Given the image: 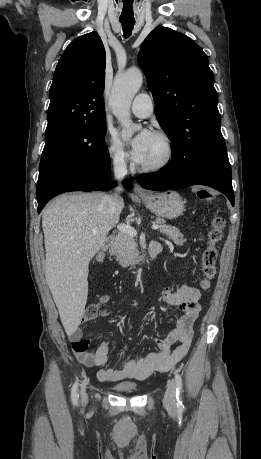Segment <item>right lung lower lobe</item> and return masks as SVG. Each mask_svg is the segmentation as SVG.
Wrapping results in <instances>:
<instances>
[{
  "instance_id": "98d812e1",
  "label": "right lung lower lobe",
  "mask_w": 261,
  "mask_h": 459,
  "mask_svg": "<svg viewBox=\"0 0 261 459\" xmlns=\"http://www.w3.org/2000/svg\"><path fill=\"white\" fill-rule=\"evenodd\" d=\"M110 175V167H83L56 176L37 191L38 213L41 212L50 199L63 192L104 191L108 187L115 186V183L109 186ZM124 185L126 188L132 187V184L128 181H124Z\"/></svg>"
}]
</instances>
